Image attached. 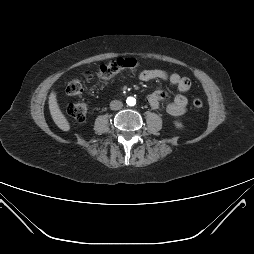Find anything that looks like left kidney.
Instances as JSON below:
<instances>
[{
  "instance_id": "obj_1",
  "label": "left kidney",
  "mask_w": 254,
  "mask_h": 254,
  "mask_svg": "<svg viewBox=\"0 0 254 254\" xmlns=\"http://www.w3.org/2000/svg\"><path fill=\"white\" fill-rule=\"evenodd\" d=\"M175 126H176L177 128H180V127H182V123L179 122V121H176V122H175Z\"/></svg>"
}]
</instances>
